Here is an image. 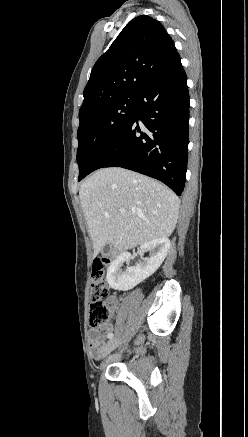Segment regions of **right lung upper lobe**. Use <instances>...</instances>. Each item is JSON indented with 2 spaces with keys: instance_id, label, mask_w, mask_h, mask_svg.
Instances as JSON below:
<instances>
[{
  "instance_id": "obj_1",
  "label": "right lung upper lobe",
  "mask_w": 248,
  "mask_h": 437,
  "mask_svg": "<svg viewBox=\"0 0 248 437\" xmlns=\"http://www.w3.org/2000/svg\"><path fill=\"white\" fill-rule=\"evenodd\" d=\"M177 55L159 21L146 15L131 20L92 68L80 122L118 99L136 96Z\"/></svg>"
}]
</instances>
